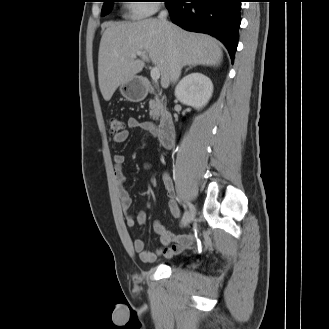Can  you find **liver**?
<instances>
[{"label": "liver", "instance_id": "1", "mask_svg": "<svg viewBox=\"0 0 329 329\" xmlns=\"http://www.w3.org/2000/svg\"><path fill=\"white\" fill-rule=\"evenodd\" d=\"M169 25L172 34L154 18L106 25L98 54L99 88L105 101L112 98L120 85L142 71L145 64L135 57L138 52L147 53L158 67L163 88L170 84L174 55L179 57L182 66L221 63L223 53L216 39Z\"/></svg>", "mask_w": 329, "mask_h": 329}]
</instances>
